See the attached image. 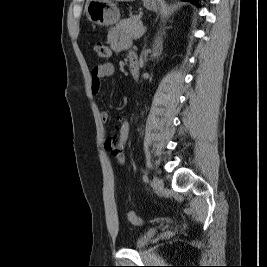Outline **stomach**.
Masks as SVG:
<instances>
[{
    "mask_svg": "<svg viewBox=\"0 0 267 267\" xmlns=\"http://www.w3.org/2000/svg\"><path fill=\"white\" fill-rule=\"evenodd\" d=\"M143 3L151 11L159 7V0H143ZM85 9L89 21L98 26H110L120 19L119 9L111 0H89Z\"/></svg>",
    "mask_w": 267,
    "mask_h": 267,
    "instance_id": "stomach-1",
    "label": "stomach"
}]
</instances>
